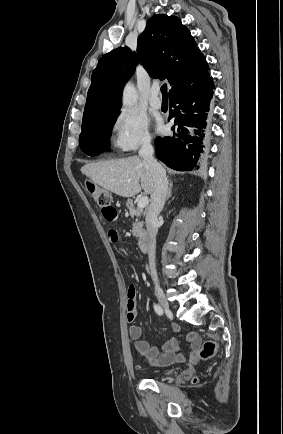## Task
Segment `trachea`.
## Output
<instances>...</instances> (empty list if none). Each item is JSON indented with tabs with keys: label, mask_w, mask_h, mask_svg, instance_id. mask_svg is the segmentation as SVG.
Wrapping results in <instances>:
<instances>
[{
	"label": "trachea",
	"mask_w": 283,
	"mask_h": 434,
	"mask_svg": "<svg viewBox=\"0 0 283 434\" xmlns=\"http://www.w3.org/2000/svg\"><path fill=\"white\" fill-rule=\"evenodd\" d=\"M161 93H162V96L165 98V97H168V94H167V84H163L162 86H161Z\"/></svg>",
	"instance_id": "3493384b"
}]
</instances>
